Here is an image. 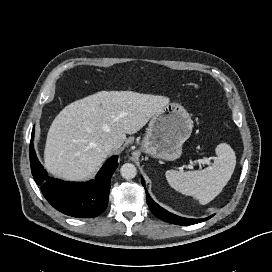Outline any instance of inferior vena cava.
Wrapping results in <instances>:
<instances>
[{"label": "inferior vena cava", "mask_w": 272, "mask_h": 272, "mask_svg": "<svg viewBox=\"0 0 272 272\" xmlns=\"http://www.w3.org/2000/svg\"><path fill=\"white\" fill-rule=\"evenodd\" d=\"M105 147L108 149V150H115V149H118L120 147L119 143L115 140V139H112V138H109L106 142H105Z\"/></svg>", "instance_id": "602c4592"}]
</instances>
